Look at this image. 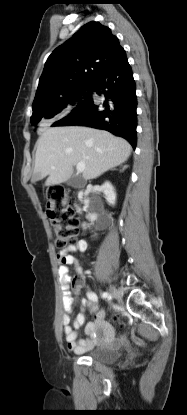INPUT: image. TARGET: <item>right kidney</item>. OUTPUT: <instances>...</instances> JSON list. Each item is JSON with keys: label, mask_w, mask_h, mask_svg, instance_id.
Instances as JSON below:
<instances>
[{"label": "right kidney", "mask_w": 187, "mask_h": 415, "mask_svg": "<svg viewBox=\"0 0 187 415\" xmlns=\"http://www.w3.org/2000/svg\"><path fill=\"white\" fill-rule=\"evenodd\" d=\"M101 191L103 192L106 201L108 202L109 205L114 206L116 203V192L114 190V187L112 186V184L110 182H105L102 186H101Z\"/></svg>", "instance_id": "1"}]
</instances>
